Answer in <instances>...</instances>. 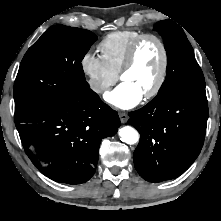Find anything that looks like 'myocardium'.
<instances>
[{
	"label": "myocardium",
	"mask_w": 221,
	"mask_h": 221,
	"mask_svg": "<svg viewBox=\"0 0 221 221\" xmlns=\"http://www.w3.org/2000/svg\"><path fill=\"white\" fill-rule=\"evenodd\" d=\"M154 40L160 48L161 51V66L159 70V74L157 77V80L153 87L143 95L145 99H151L155 97L160 90L162 89L166 76L168 71V65H169V56H168V50L164 43V41L156 34L153 33H143L139 37H137L133 43L130 45L124 63L119 71V78L122 80L123 75L132 68V66L135 63L137 52L141 46V44L146 40Z\"/></svg>",
	"instance_id": "1"
}]
</instances>
